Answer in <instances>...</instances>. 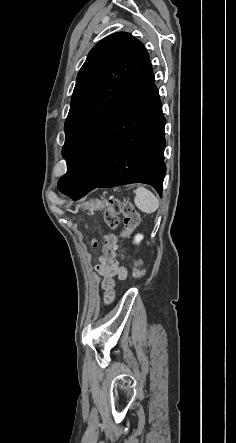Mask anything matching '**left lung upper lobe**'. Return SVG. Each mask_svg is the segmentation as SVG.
<instances>
[{
	"mask_svg": "<svg viewBox=\"0 0 236 443\" xmlns=\"http://www.w3.org/2000/svg\"><path fill=\"white\" fill-rule=\"evenodd\" d=\"M149 60L144 45L126 32L98 42L81 67L65 121L62 154L68 161L90 127L112 106Z\"/></svg>",
	"mask_w": 236,
	"mask_h": 443,
	"instance_id": "left-lung-upper-lobe-1",
	"label": "left lung upper lobe"
}]
</instances>
